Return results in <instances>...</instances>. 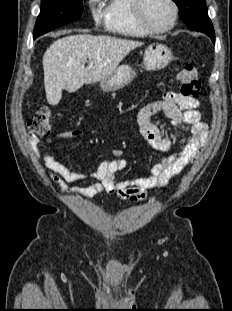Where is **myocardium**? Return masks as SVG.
Wrapping results in <instances>:
<instances>
[{
  "label": "myocardium",
  "mask_w": 232,
  "mask_h": 311,
  "mask_svg": "<svg viewBox=\"0 0 232 311\" xmlns=\"http://www.w3.org/2000/svg\"><path fill=\"white\" fill-rule=\"evenodd\" d=\"M144 2L145 0H132V11L134 19L143 30H145L147 33L158 34L168 32L175 27L179 17V8L175 0H168L173 9V17L167 26L161 28L153 27L146 21L143 12Z\"/></svg>",
  "instance_id": "f54148a6"
}]
</instances>
